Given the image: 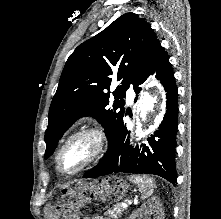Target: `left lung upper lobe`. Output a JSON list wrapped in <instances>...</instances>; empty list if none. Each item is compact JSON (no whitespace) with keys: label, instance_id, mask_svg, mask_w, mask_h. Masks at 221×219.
<instances>
[{"label":"left lung upper lobe","instance_id":"5c2ea615","mask_svg":"<svg viewBox=\"0 0 221 219\" xmlns=\"http://www.w3.org/2000/svg\"><path fill=\"white\" fill-rule=\"evenodd\" d=\"M159 46L150 25L134 13L120 16L79 45L65 64L51 102L45 158L52 155L62 134L82 116L95 117L109 141L125 115L121 98L130 85L134 90L138 88ZM114 78L119 85L112 102L109 89Z\"/></svg>","mask_w":221,"mask_h":219}]
</instances>
